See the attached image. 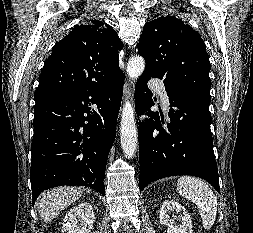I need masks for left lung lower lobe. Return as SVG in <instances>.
<instances>
[{
	"label": "left lung lower lobe",
	"instance_id": "obj_1",
	"mask_svg": "<svg viewBox=\"0 0 253 233\" xmlns=\"http://www.w3.org/2000/svg\"><path fill=\"white\" fill-rule=\"evenodd\" d=\"M152 76L143 73L135 88L137 115L146 114L156 120L139 123V189L168 176L193 175L208 181L218 192L219 178L210 130V94L192 91L169 95L170 123L161 126L147 81ZM163 121V117L161 116Z\"/></svg>",
	"mask_w": 253,
	"mask_h": 233
}]
</instances>
